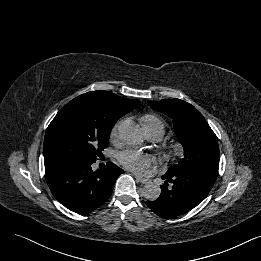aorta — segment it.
Returning a JSON list of instances; mask_svg holds the SVG:
<instances>
[{"label":"aorta","instance_id":"obj_1","mask_svg":"<svg viewBox=\"0 0 261 261\" xmlns=\"http://www.w3.org/2000/svg\"><path fill=\"white\" fill-rule=\"evenodd\" d=\"M120 136L126 144L136 148L140 147L144 141L141 128L133 122L123 124ZM142 193L147 200L154 201L160 196L161 188L157 184L149 182L144 185Z\"/></svg>","mask_w":261,"mask_h":261}]
</instances>
